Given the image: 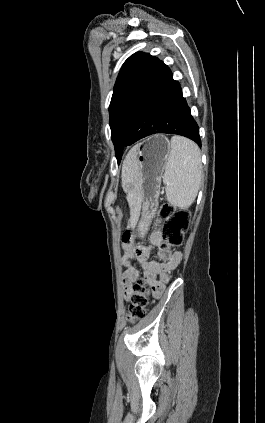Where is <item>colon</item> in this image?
I'll return each instance as SVG.
<instances>
[{"label":"colon","instance_id":"colon-1","mask_svg":"<svg viewBox=\"0 0 265 423\" xmlns=\"http://www.w3.org/2000/svg\"><path fill=\"white\" fill-rule=\"evenodd\" d=\"M191 222L190 213L186 210H177L172 206L163 205L158 211L157 223L161 226L162 243L160 248L180 246L184 235L188 231ZM124 252H129L133 247V235L125 232L122 235ZM127 319L130 323H136L146 315L148 298L145 295V283L139 279L132 287Z\"/></svg>","mask_w":265,"mask_h":423}]
</instances>
